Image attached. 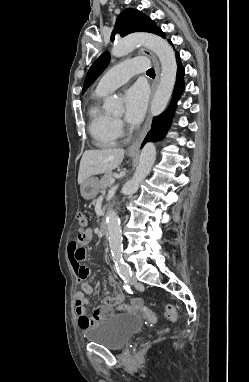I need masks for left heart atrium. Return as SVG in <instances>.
Returning a JSON list of instances; mask_svg holds the SVG:
<instances>
[{
	"mask_svg": "<svg viewBox=\"0 0 249 382\" xmlns=\"http://www.w3.org/2000/svg\"><path fill=\"white\" fill-rule=\"evenodd\" d=\"M148 101L146 89L133 85L125 93V119L132 124L141 122L144 117Z\"/></svg>",
	"mask_w": 249,
	"mask_h": 382,
	"instance_id": "left-heart-atrium-1",
	"label": "left heart atrium"
}]
</instances>
